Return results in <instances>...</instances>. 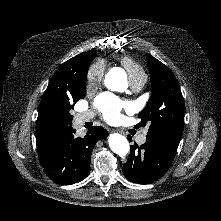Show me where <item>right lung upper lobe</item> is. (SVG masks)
Returning a JSON list of instances; mask_svg holds the SVG:
<instances>
[{"instance_id":"right-lung-upper-lobe-1","label":"right lung upper lobe","mask_w":221,"mask_h":221,"mask_svg":"<svg viewBox=\"0 0 221 221\" xmlns=\"http://www.w3.org/2000/svg\"><path fill=\"white\" fill-rule=\"evenodd\" d=\"M95 51L81 53L66 61L53 75L42 97L36 122V143L42 165L48 160L56 136L66 129L55 120L57 93L71 90L87 78L89 63L96 57Z\"/></svg>"}]
</instances>
